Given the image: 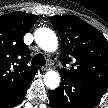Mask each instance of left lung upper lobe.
Here are the masks:
<instances>
[{"mask_svg":"<svg viewBox=\"0 0 108 108\" xmlns=\"http://www.w3.org/2000/svg\"><path fill=\"white\" fill-rule=\"evenodd\" d=\"M51 22L61 36V62L72 66L70 70L62 68L60 75L108 83L106 38L76 16H53Z\"/></svg>","mask_w":108,"mask_h":108,"instance_id":"1","label":"left lung upper lobe"}]
</instances>
